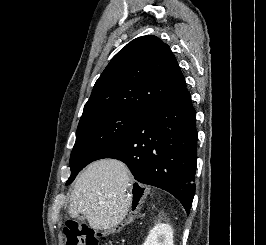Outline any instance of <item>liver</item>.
Masks as SVG:
<instances>
[{
    "mask_svg": "<svg viewBox=\"0 0 266 245\" xmlns=\"http://www.w3.org/2000/svg\"><path fill=\"white\" fill-rule=\"evenodd\" d=\"M132 175L121 161L101 159L86 167L71 193L72 219L84 215L91 229H112L125 219L130 207L127 195Z\"/></svg>",
    "mask_w": 266,
    "mask_h": 245,
    "instance_id": "1",
    "label": "liver"
}]
</instances>
